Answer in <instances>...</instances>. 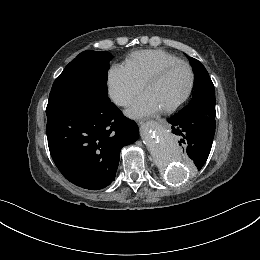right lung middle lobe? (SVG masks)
<instances>
[{"label":"right lung middle lobe","instance_id":"right-lung-middle-lobe-1","mask_svg":"<svg viewBox=\"0 0 260 260\" xmlns=\"http://www.w3.org/2000/svg\"><path fill=\"white\" fill-rule=\"evenodd\" d=\"M111 59L107 51L87 50L76 56L53 83L46 110L66 105L88 106L107 98Z\"/></svg>","mask_w":260,"mask_h":260}]
</instances>
